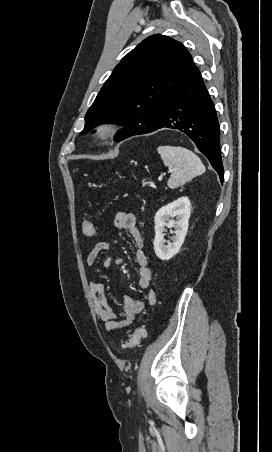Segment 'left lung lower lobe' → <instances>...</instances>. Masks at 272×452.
<instances>
[{
  "label": "left lung lower lobe",
  "instance_id": "left-lung-lower-lobe-1",
  "mask_svg": "<svg viewBox=\"0 0 272 452\" xmlns=\"http://www.w3.org/2000/svg\"><path fill=\"white\" fill-rule=\"evenodd\" d=\"M164 127L186 133L208 158L223 182L224 170L216 110L196 66L192 65L171 93L160 112L159 120L153 126L136 130L123 136L121 140Z\"/></svg>",
  "mask_w": 272,
  "mask_h": 452
}]
</instances>
